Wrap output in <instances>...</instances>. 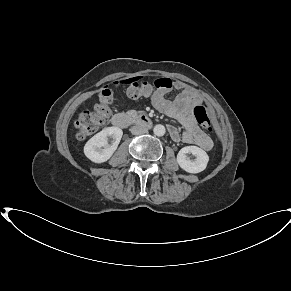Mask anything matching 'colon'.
I'll use <instances>...</instances> for the list:
<instances>
[{"mask_svg":"<svg viewBox=\"0 0 291 291\" xmlns=\"http://www.w3.org/2000/svg\"><path fill=\"white\" fill-rule=\"evenodd\" d=\"M121 83L127 86V94L132 99L148 96L158 87H168V80L150 82L145 77H132L124 79ZM98 102L92 109L83 110L75 118L76 138L84 139L88 135L97 133L104 127L111 115V103L113 100L112 91L104 86L98 92ZM193 114L198 123L209 133H215L217 126L214 121L210 107L205 104H197L193 109Z\"/></svg>","mask_w":291,"mask_h":291,"instance_id":"1","label":"colon"}]
</instances>
